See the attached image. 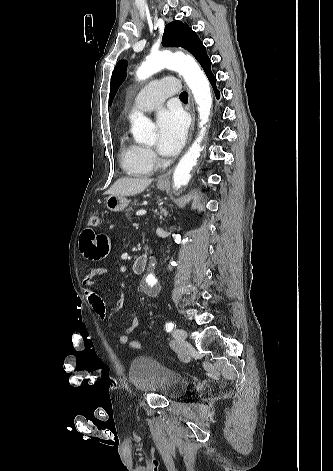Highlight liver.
Instances as JSON below:
<instances>
[{"label":"liver","instance_id":"1","mask_svg":"<svg viewBox=\"0 0 333 471\" xmlns=\"http://www.w3.org/2000/svg\"><path fill=\"white\" fill-rule=\"evenodd\" d=\"M152 181L153 179L149 178H119L106 191V194L133 196L143 192Z\"/></svg>","mask_w":333,"mask_h":471}]
</instances>
